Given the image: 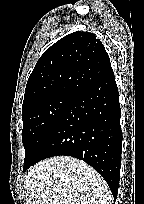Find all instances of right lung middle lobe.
<instances>
[{
	"instance_id": "right-lung-middle-lobe-1",
	"label": "right lung middle lobe",
	"mask_w": 144,
	"mask_h": 204,
	"mask_svg": "<svg viewBox=\"0 0 144 204\" xmlns=\"http://www.w3.org/2000/svg\"><path fill=\"white\" fill-rule=\"evenodd\" d=\"M74 97L72 93H59L22 111V141L25 148L23 171L35 163L38 152Z\"/></svg>"
}]
</instances>
